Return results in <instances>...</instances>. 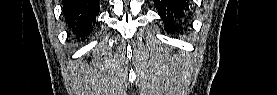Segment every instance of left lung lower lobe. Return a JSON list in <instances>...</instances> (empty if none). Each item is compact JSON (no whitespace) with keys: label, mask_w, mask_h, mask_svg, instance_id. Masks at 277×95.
I'll return each mask as SVG.
<instances>
[{"label":"left lung lower lobe","mask_w":277,"mask_h":95,"mask_svg":"<svg viewBox=\"0 0 277 95\" xmlns=\"http://www.w3.org/2000/svg\"><path fill=\"white\" fill-rule=\"evenodd\" d=\"M156 9L165 22V30L172 33L185 24L186 13L190 4L188 0H155Z\"/></svg>","instance_id":"obj_1"}]
</instances>
